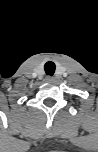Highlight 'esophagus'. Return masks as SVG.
<instances>
[{
  "label": "esophagus",
  "mask_w": 98,
  "mask_h": 152,
  "mask_svg": "<svg viewBox=\"0 0 98 152\" xmlns=\"http://www.w3.org/2000/svg\"><path fill=\"white\" fill-rule=\"evenodd\" d=\"M45 81H46V82H49V83H52V82L54 81V78L51 77V76H47V77L45 78Z\"/></svg>",
  "instance_id": "34e87169"
}]
</instances>
